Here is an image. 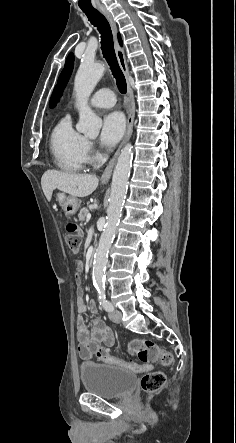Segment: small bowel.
Listing matches in <instances>:
<instances>
[{
  "label": "small bowel",
  "mask_w": 236,
  "mask_h": 443,
  "mask_svg": "<svg viewBox=\"0 0 236 443\" xmlns=\"http://www.w3.org/2000/svg\"><path fill=\"white\" fill-rule=\"evenodd\" d=\"M83 269V265L77 263V271L79 276L75 278L76 284V309L80 314L76 319L77 340L79 342V355L82 358H89L94 351V348L99 344H104L110 347L114 344V338L112 333L104 326L100 320H94L92 323V329L89 332L86 321L83 317L87 311L91 313L97 312V306L95 302L91 301L86 304L83 300V290L80 287L81 276L80 272ZM150 369V368H149Z\"/></svg>",
  "instance_id": "small-bowel-1"
}]
</instances>
